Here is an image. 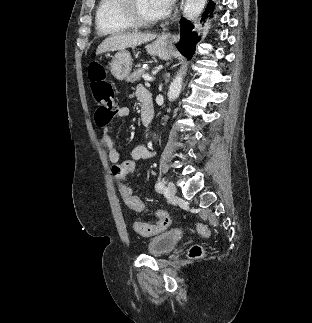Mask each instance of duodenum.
Here are the masks:
<instances>
[{"instance_id": "410a0bca", "label": "duodenum", "mask_w": 312, "mask_h": 323, "mask_svg": "<svg viewBox=\"0 0 312 323\" xmlns=\"http://www.w3.org/2000/svg\"><path fill=\"white\" fill-rule=\"evenodd\" d=\"M154 117V107L151 96L148 92L142 98V106L140 112V122L142 126H147Z\"/></svg>"}]
</instances>
